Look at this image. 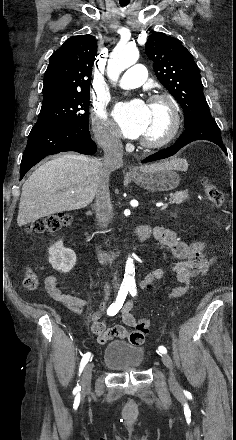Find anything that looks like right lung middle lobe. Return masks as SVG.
<instances>
[{
    "instance_id": "dd1d6c3e",
    "label": "right lung middle lobe",
    "mask_w": 236,
    "mask_h": 440,
    "mask_svg": "<svg viewBox=\"0 0 236 440\" xmlns=\"http://www.w3.org/2000/svg\"><path fill=\"white\" fill-rule=\"evenodd\" d=\"M89 97L80 94L71 98L42 104L38 124H55L89 128Z\"/></svg>"
}]
</instances>
